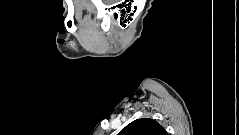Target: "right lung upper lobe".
Instances as JSON below:
<instances>
[{"label":"right lung upper lobe","mask_w":239,"mask_h":135,"mask_svg":"<svg viewBox=\"0 0 239 135\" xmlns=\"http://www.w3.org/2000/svg\"><path fill=\"white\" fill-rule=\"evenodd\" d=\"M118 135H168L166 130L155 120L150 118L137 119L125 128Z\"/></svg>","instance_id":"obj_1"}]
</instances>
